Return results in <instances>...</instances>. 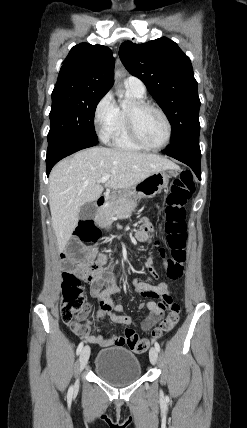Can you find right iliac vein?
Returning <instances> with one entry per match:
<instances>
[{
    "label": "right iliac vein",
    "instance_id": "1",
    "mask_svg": "<svg viewBox=\"0 0 247 428\" xmlns=\"http://www.w3.org/2000/svg\"><path fill=\"white\" fill-rule=\"evenodd\" d=\"M89 356H90V347L89 346H85L81 353H80V357H79V369L80 371H82L85 366L87 365V362L89 360ZM79 385V382H76L75 387L77 388Z\"/></svg>",
    "mask_w": 247,
    "mask_h": 428
}]
</instances>
